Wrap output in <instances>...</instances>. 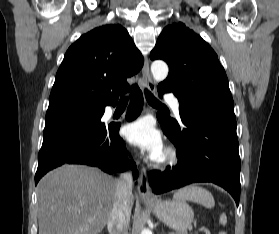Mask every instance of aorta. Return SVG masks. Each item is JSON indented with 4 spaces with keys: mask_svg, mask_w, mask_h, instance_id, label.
Wrapping results in <instances>:
<instances>
[{
    "mask_svg": "<svg viewBox=\"0 0 279 234\" xmlns=\"http://www.w3.org/2000/svg\"><path fill=\"white\" fill-rule=\"evenodd\" d=\"M168 66L164 61L156 60L151 64V73L155 81L161 82L166 79L168 75ZM141 234H152L149 229H143Z\"/></svg>",
    "mask_w": 279,
    "mask_h": 234,
    "instance_id": "1",
    "label": "aorta"
}]
</instances>
